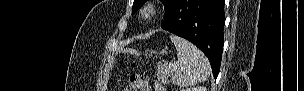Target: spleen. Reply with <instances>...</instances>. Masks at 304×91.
<instances>
[{"label": "spleen", "mask_w": 304, "mask_h": 91, "mask_svg": "<svg viewBox=\"0 0 304 91\" xmlns=\"http://www.w3.org/2000/svg\"><path fill=\"white\" fill-rule=\"evenodd\" d=\"M177 50V69L172 78L174 84L187 87L207 80L211 67L206 56L196 46L178 36L171 35Z\"/></svg>", "instance_id": "1"}]
</instances>
